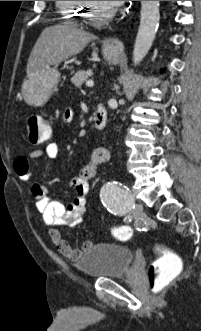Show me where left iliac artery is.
<instances>
[{"label":"left iliac artery","mask_w":201,"mask_h":331,"mask_svg":"<svg viewBox=\"0 0 201 331\" xmlns=\"http://www.w3.org/2000/svg\"><path fill=\"white\" fill-rule=\"evenodd\" d=\"M101 201L107 210L117 216H123L134 209V199L129 189L119 182H108L100 193Z\"/></svg>","instance_id":"1"}]
</instances>
